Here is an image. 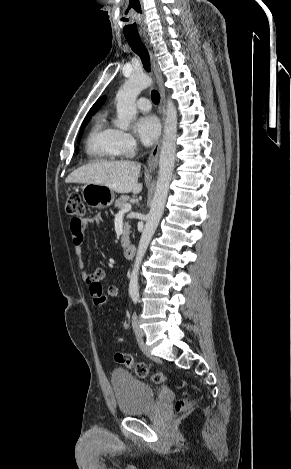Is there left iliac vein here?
<instances>
[{"mask_svg": "<svg viewBox=\"0 0 291 469\" xmlns=\"http://www.w3.org/2000/svg\"><path fill=\"white\" fill-rule=\"evenodd\" d=\"M132 326H133V330H134V333H135L136 337L138 339H142L144 337L145 333L139 326V320H138V316H137L136 313H134L133 316H132ZM143 350L146 354H148V351H147L145 346L143 347Z\"/></svg>", "mask_w": 291, "mask_h": 469, "instance_id": "left-iliac-vein-1", "label": "left iliac vein"}]
</instances>
